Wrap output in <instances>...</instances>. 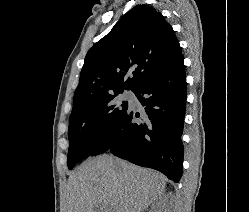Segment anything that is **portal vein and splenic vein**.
<instances>
[{"instance_id": "obj_1", "label": "portal vein and splenic vein", "mask_w": 249, "mask_h": 212, "mask_svg": "<svg viewBox=\"0 0 249 212\" xmlns=\"http://www.w3.org/2000/svg\"><path fill=\"white\" fill-rule=\"evenodd\" d=\"M101 210H103V212H112V208H110V206H105V208H101Z\"/></svg>"}]
</instances>
